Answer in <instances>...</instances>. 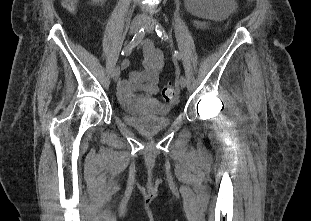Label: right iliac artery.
I'll return each mask as SVG.
<instances>
[{"instance_id":"obj_1","label":"right iliac artery","mask_w":311,"mask_h":221,"mask_svg":"<svg viewBox=\"0 0 311 221\" xmlns=\"http://www.w3.org/2000/svg\"><path fill=\"white\" fill-rule=\"evenodd\" d=\"M145 36V29L141 28L139 31H137V33L134 35V37L132 38V40L130 41V43L122 50V55L123 56H127L131 53L132 49L138 45L142 39Z\"/></svg>"}]
</instances>
